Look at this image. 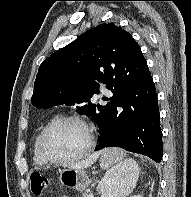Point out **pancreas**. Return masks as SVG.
Here are the masks:
<instances>
[{
    "label": "pancreas",
    "mask_w": 191,
    "mask_h": 197,
    "mask_svg": "<svg viewBox=\"0 0 191 197\" xmlns=\"http://www.w3.org/2000/svg\"><path fill=\"white\" fill-rule=\"evenodd\" d=\"M83 197H91L90 194H88L87 192L83 193Z\"/></svg>",
    "instance_id": "1"
}]
</instances>
